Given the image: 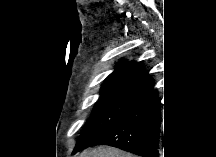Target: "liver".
Wrapping results in <instances>:
<instances>
[{
	"instance_id": "obj_1",
	"label": "liver",
	"mask_w": 216,
	"mask_h": 157,
	"mask_svg": "<svg viewBox=\"0 0 216 157\" xmlns=\"http://www.w3.org/2000/svg\"><path fill=\"white\" fill-rule=\"evenodd\" d=\"M80 157H134V155L113 147L101 146L82 152Z\"/></svg>"
}]
</instances>
